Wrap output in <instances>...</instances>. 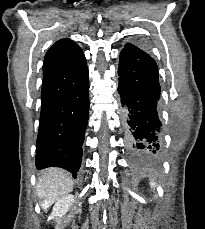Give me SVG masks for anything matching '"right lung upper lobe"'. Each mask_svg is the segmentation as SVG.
I'll list each match as a JSON object with an SVG mask.
<instances>
[{
  "mask_svg": "<svg viewBox=\"0 0 205 229\" xmlns=\"http://www.w3.org/2000/svg\"><path fill=\"white\" fill-rule=\"evenodd\" d=\"M52 47L55 49L54 54L60 58L67 67H76L85 60L81 48L70 39H61Z\"/></svg>",
  "mask_w": 205,
  "mask_h": 229,
  "instance_id": "cb5924a9",
  "label": "right lung upper lobe"
}]
</instances>
